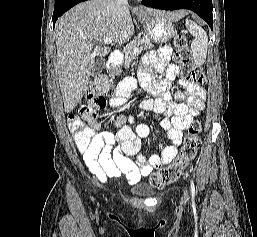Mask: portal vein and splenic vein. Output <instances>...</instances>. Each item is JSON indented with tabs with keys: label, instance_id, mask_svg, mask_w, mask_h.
I'll use <instances>...</instances> for the list:
<instances>
[{
	"label": "portal vein and splenic vein",
	"instance_id": "1",
	"mask_svg": "<svg viewBox=\"0 0 257 237\" xmlns=\"http://www.w3.org/2000/svg\"><path fill=\"white\" fill-rule=\"evenodd\" d=\"M103 42H104L105 44H111V43H112V39L109 38V37H106L105 39H103ZM138 51H139L138 48H135L134 51H133V53L136 54V53H138Z\"/></svg>",
	"mask_w": 257,
	"mask_h": 237
}]
</instances>
